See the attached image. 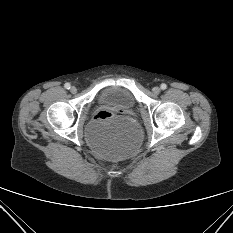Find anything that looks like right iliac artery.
<instances>
[{
    "mask_svg": "<svg viewBox=\"0 0 233 233\" xmlns=\"http://www.w3.org/2000/svg\"><path fill=\"white\" fill-rule=\"evenodd\" d=\"M64 87H65L66 89H70L71 85H70V83H65Z\"/></svg>",
    "mask_w": 233,
    "mask_h": 233,
    "instance_id": "1",
    "label": "right iliac artery"
}]
</instances>
